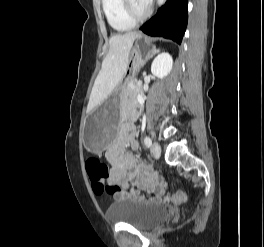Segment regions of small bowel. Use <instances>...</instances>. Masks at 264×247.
<instances>
[{"label":"small bowel","instance_id":"c3829d8e","mask_svg":"<svg viewBox=\"0 0 264 247\" xmlns=\"http://www.w3.org/2000/svg\"><path fill=\"white\" fill-rule=\"evenodd\" d=\"M127 147L133 150L139 148L133 120L127 121L122 126L117 139L106 152L107 159L112 163L109 183L125 189L134 186L158 197L164 195L167 186L163 178L151 165L138 162L133 154L126 150ZM115 197L117 199L126 198L127 192L118 193Z\"/></svg>","mask_w":264,"mask_h":247}]
</instances>
